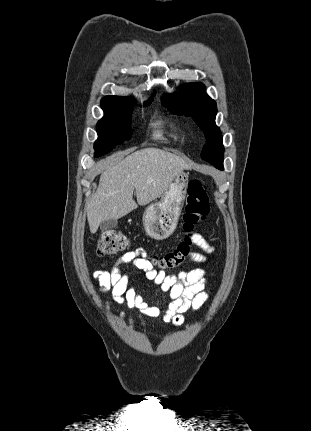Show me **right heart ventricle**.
I'll list each match as a JSON object with an SVG mask.
<instances>
[{"label": "right heart ventricle", "mask_w": 311, "mask_h": 431, "mask_svg": "<svg viewBox=\"0 0 311 431\" xmlns=\"http://www.w3.org/2000/svg\"><path fill=\"white\" fill-rule=\"evenodd\" d=\"M152 138L160 142H168L170 140L176 141L179 138V134L177 132L167 130L162 126V123L157 122L154 124Z\"/></svg>", "instance_id": "right-heart-ventricle-1"}]
</instances>
